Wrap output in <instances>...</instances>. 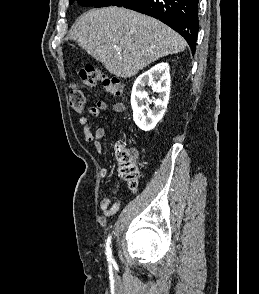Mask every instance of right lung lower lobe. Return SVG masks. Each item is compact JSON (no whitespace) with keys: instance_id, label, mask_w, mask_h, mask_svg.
<instances>
[{"instance_id":"1","label":"right lung lower lobe","mask_w":259,"mask_h":294,"mask_svg":"<svg viewBox=\"0 0 259 294\" xmlns=\"http://www.w3.org/2000/svg\"><path fill=\"white\" fill-rule=\"evenodd\" d=\"M199 0H130L122 7L147 14L177 31L195 53Z\"/></svg>"}]
</instances>
